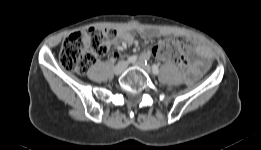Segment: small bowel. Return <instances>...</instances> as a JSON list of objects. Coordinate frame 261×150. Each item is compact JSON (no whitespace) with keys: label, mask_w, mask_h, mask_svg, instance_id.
Instances as JSON below:
<instances>
[{"label":"small bowel","mask_w":261,"mask_h":150,"mask_svg":"<svg viewBox=\"0 0 261 150\" xmlns=\"http://www.w3.org/2000/svg\"><path fill=\"white\" fill-rule=\"evenodd\" d=\"M140 32L146 38H153L156 35V32L151 29H141ZM117 40L118 43L116 45L117 49H124L127 45H130L134 42V36L132 34V29L130 27H122L117 31ZM190 41L193 44L192 52L196 54L200 59L196 60L193 63V68L190 73V77H196L202 70L207 68L211 61V52L209 49L198 42L194 38H190ZM116 54H113L112 58H115ZM150 57V52L145 51L141 54V59L147 60Z\"/></svg>","instance_id":"c3829d8e"}]
</instances>
